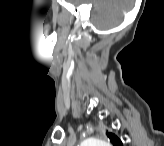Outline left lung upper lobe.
<instances>
[{
	"label": "left lung upper lobe",
	"mask_w": 164,
	"mask_h": 146,
	"mask_svg": "<svg viewBox=\"0 0 164 146\" xmlns=\"http://www.w3.org/2000/svg\"><path fill=\"white\" fill-rule=\"evenodd\" d=\"M106 135L114 146H122L121 140L115 134L107 132Z\"/></svg>",
	"instance_id": "1"
}]
</instances>
